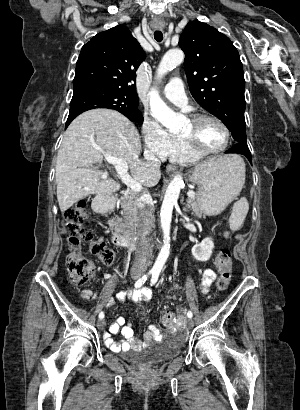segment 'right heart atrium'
I'll return each mask as SVG.
<instances>
[{"label":"right heart atrium","instance_id":"d8ad5b80","mask_svg":"<svg viewBox=\"0 0 300 410\" xmlns=\"http://www.w3.org/2000/svg\"><path fill=\"white\" fill-rule=\"evenodd\" d=\"M141 131L146 153L160 159L166 158L174 145V136L147 115L143 118Z\"/></svg>","mask_w":300,"mask_h":410}]
</instances>
